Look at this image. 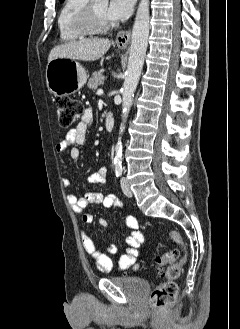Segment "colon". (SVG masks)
I'll return each mask as SVG.
<instances>
[{
  "instance_id": "colon-1",
  "label": "colon",
  "mask_w": 240,
  "mask_h": 329,
  "mask_svg": "<svg viewBox=\"0 0 240 329\" xmlns=\"http://www.w3.org/2000/svg\"><path fill=\"white\" fill-rule=\"evenodd\" d=\"M58 123L64 128L71 127L82 116L83 108L77 100L61 97L57 100ZM170 236L180 248L166 251L155 259L163 280L155 287L149 296V303L155 309H166L174 304L177 298V279L186 263V252L183 238L177 231H171ZM182 254L179 261L177 257ZM166 266V268H163Z\"/></svg>"
}]
</instances>
